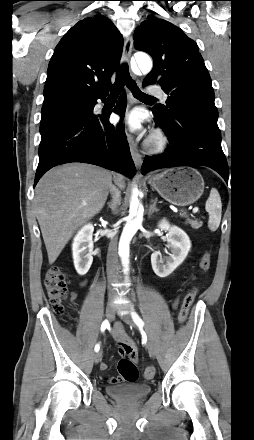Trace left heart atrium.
Listing matches in <instances>:
<instances>
[{"instance_id": "1", "label": "left heart atrium", "mask_w": 254, "mask_h": 440, "mask_svg": "<svg viewBox=\"0 0 254 440\" xmlns=\"http://www.w3.org/2000/svg\"><path fill=\"white\" fill-rule=\"evenodd\" d=\"M126 123L132 131H138L141 128L140 115L136 112L130 113L126 118Z\"/></svg>"}]
</instances>
